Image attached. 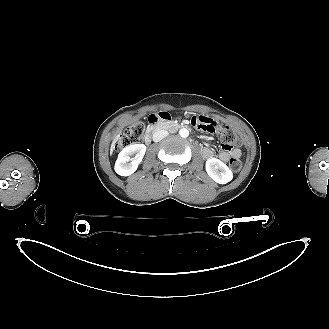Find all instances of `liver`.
<instances>
[{
  "label": "liver",
  "mask_w": 329,
  "mask_h": 329,
  "mask_svg": "<svg viewBox=\"0 0 329 329\" xmlns=\"http://www.w3.org/2000/svg\"><path fill=\"white\" fill-rule=\"evenodd\" d=\"M118 139H119V134L114 138V140H113V142H112L111 149H110L111 154H112V152H113V150H114V145H115V143H116V141H117Z\"/></svg>",
  "instance_id": "obj_1"
}]
</instances>
